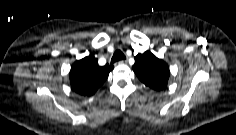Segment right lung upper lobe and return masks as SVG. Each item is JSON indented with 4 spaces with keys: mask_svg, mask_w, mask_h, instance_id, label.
<instances>
[{
    "mask_svg": "<svg viewBox=\"0 0 236 135\" xmlns=\"http://www.w3.org/2000/svg\"><path fill=\"white\" fill-rule=\"evenodd\" d=\"M114 66H99L93 55L77 60L69 73L72 90L84 96L93 95L106 81Z\"/></svg>",
    "mask_w": 236,
    "mask_h": 135,
    "instance_id": "right-lung-upper-lobe-1",
    "label": "right lung upper lobe"
}]
</instances>
